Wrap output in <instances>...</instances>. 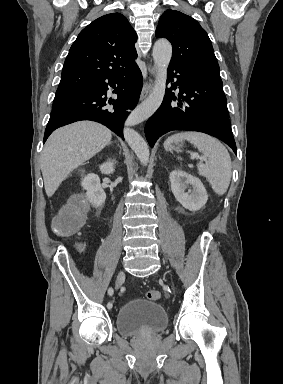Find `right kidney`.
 <instances>
[{"label": "right kidney", "instance_id": "right-kidney-1", "mask_svg": "<svg viewBox=\"0 0 283 384\" xmlns=\"http://www.w3.org/2000/svg\"><path fill=\"white\" fill-rule=\"evenodd\" d=\"M100 170L102 174H113L114 162H106V164H102ZM81 186L84 190H87V200H89L94 208L103 206L106 200V194L103 188H101L100 178H98L96 174H88V176H85L81 182Z\"/></svg>", "mask_w": 283, "mask_h": 384}]
</instances>
